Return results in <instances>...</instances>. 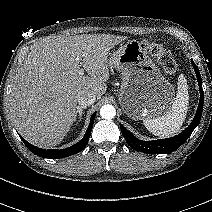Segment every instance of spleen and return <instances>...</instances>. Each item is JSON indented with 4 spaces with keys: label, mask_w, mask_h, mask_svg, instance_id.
I'll return each instance as SVG.
<instances>
[{
    "label": "spleen",
    "mask_w": 212,
    "mask_h": 212,
    "mask_svg": "<svg viewBox=\"0 0 212 212\" xmlns=\"http://www.w3.org/2000/svg\"><path fill=\"white\" fill-rule=\"evenodd\" d=\"M178 90L170 111L162 117L144 119V126L158 137L175 135L183 125L189 105L187 80L183 74L178 77Z\"/></svg>",
    "instance_id": "3e777b00"
}]
</instances>
